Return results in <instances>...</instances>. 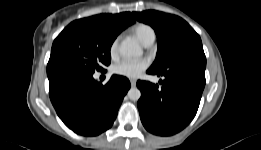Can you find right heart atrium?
Here are the masks:
<instances>
[{
	"mask_svg": "<svg viewBox=\"0 0 261 150\" xmlns=\"http://www.w3.org/2000/svg\"><path fill=\"white\" fill-rule=\"evenodd\" d=\"M109 54L112 58H115L118 54V38H115L109 47Z\"/></svg>",
	"mask_w": 261,
	"mask_h": 150,
	"instance_id": "right-heart-atrium-1",
	"label": "right heart atrium"
}]
</instances>
